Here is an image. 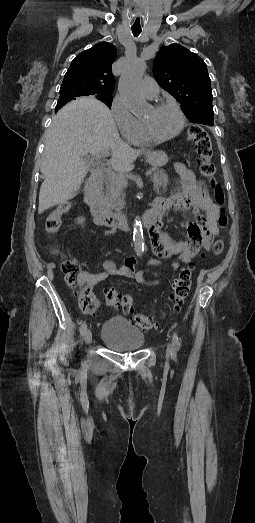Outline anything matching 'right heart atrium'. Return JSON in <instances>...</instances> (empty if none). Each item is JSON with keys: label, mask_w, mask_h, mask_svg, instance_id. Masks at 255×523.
I'll list each match as a JSON object with an SVG mask.
<instances>
[{"label": "right heart atrium", "mask_w": 255, "mask_h": 523, "mask_svg": "<svg viewBox=\"0 0 255 523\" xmlns=\"http://www.w3.org/2000/svg\"><path fill=\"white\" fill-rule=\"evenodd\" d=\"M109 111L120 135L123 138H128L130 133L135 129L138 120L130 112L121 96L116 95L113 98Z\"/></svg>", "instance_id": "right-heart-atrium-1"}]
</instances>
